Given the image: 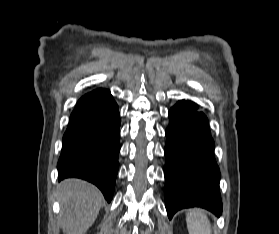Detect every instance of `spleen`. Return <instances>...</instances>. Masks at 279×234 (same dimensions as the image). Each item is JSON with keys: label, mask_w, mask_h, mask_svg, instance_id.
I'll return each mask as SVG.
<instances>
[{"label": "spleen", "mask_w": 279, "mask_h": 234, "mask_svg": "<svg viewBox=\"0 0 279 234\" xmlns=\"http://www.w3.org/2000/svg\"><path fill=\"white\" fill-rule=\"evenodd\" d=\"M189 234H211L210 222L200 209H192L186 215Z\"/></svg>", "instance_id": "obj_1"}]
</instances>
